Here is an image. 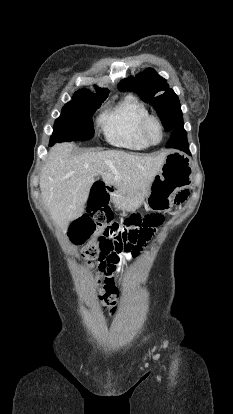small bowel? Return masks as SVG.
Returning <instances> with one entry per match:
<instances>
[{"label":"small bowel","instance_id":"1","mask_svg":"<svg viewBox=\"0 0 233 414\" xmlns=\"http://www.w3.org/2000/svg\"><path fill=\"white\" fill-rule=\"evenodd\" d=\"M152 227L148 229L149 237L152 235ZM130 252H121L115 250H105L100 252L97 262V274H102L103 277L109 281H104V289L109 294H116L118 289V281H113L115 271H122L123 267H130V262H125L131 259ZM106 260V261H105ZM107 274V275H106ZM107 276V277H106Z\"/></svg>","mask_w":233,"mask_h":414}]
</instances>
